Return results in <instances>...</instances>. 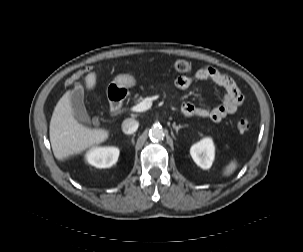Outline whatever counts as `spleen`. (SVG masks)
Listing matches in <instances>:
<instances>
[{"instance_id":"obj_1","label":"spleen","mask_w":303,"mask_h":252,"mask_svg":"<svg viewBox=\"0 0 303 252\" xmlns=\"http://www.w3.org/2000/svg\"><path fill=\"white\" fill-rule=\"evenodd\" d=\"M237 167H238V163L236 160L230 161L226 166H224V168L222 170V175L230 176L231 174H233L235 172Z\"/></svg>"}]
</instances>
